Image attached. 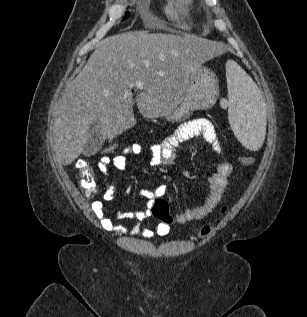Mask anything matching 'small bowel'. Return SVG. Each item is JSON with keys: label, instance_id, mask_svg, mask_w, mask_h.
Here are the masks:
<instances>
[{"label": "small bowel", "instance_id": "small-bowel-1", "mask_svg": "<svg viewBox=\"0 0 307 317\" xmlns=\"http://www.w3.org/2000/svg\"><path fill=\"white\" fill-rule=\"evenodd\" d=\"M202 139L212 145L217 153L222 152V146L218 134L212 122L207 118H196L181 124L172 134L167 136L159 143L150 146V165L151 167H166L175 169V149L180 143L189 139ZM143 151V147L134 143L128 147L127 153L122 157L111 158L103 155L98 163V169L104 177L105 192L101 200H96L91 203V209L101 223L103 229L116 233H121L125 230L123 226L114 225L111 218L107 215L104 202L112 201L117 192L114 182L107 181L110 172V167L113 166L117 171H124L126 168L127 155H138ZM185 178H194L186 171L178 170ZM233 172L232 164L223 160L216 168V171L207 178L209 185V193L207 197L199 204L186 209L182 213L175 216V221L178 224H185L193 220H199L210 213L220 202L224 190L228 184V179ZM130 189L127 190V193ZM167 193L165 185H159L154 189H141L140 195L145 198V208L133 212H119L118 217L121 219H133L142 221L152 215L151 208L156 199L164 196ZM156 231L159 235H166L169 232V226L164 223L157 225ZM131 233L141 234L143 237H151L154 232L150 228L140 229L139 225L132 228Z\"/></svg>", "mask_w": 307, "mask_h": 317}]
</instances>
